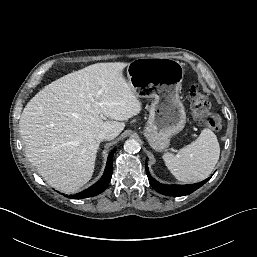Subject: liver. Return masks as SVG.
I'll use <instances>...</instances> for the list:
<instances>
[{
	"instance_id": "liver-1",
	"label": "liver",
	"mask_w": 257,
	"mask_h": 257,
	"mask_svg": "<svg viewBox=\"0 0 257 257\" xmlns=\"http://www.w3.org/2000/svg\"><path fill=\"white\" fill-rule=\"evenodd\" d=\"M126 66L97 63L69 73L25 106L19 128L26 157L56 190L75 193L85 185L94 172L99 133L118 136L123 121L142 110L123 76ZM104 117L110 121H103Z\"/></svg>"
}]
</instances>
